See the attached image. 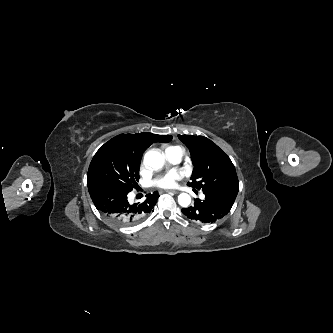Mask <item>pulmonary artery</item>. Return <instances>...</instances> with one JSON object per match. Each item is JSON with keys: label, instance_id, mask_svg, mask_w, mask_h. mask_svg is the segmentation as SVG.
Instances as JSON below:
<instances>
[{"label": "pulmonary artery", "instance_id": "e3ab8cb5", "mask_svg": "<svg viewBox=\"0 0 333 333\" xmlns=\"http://www.w3.org/2000/svg\"><path fill=\"white\" fill-rule=\"evenodd\" d=\"M166 158L172 164H178L182 161L184 152L180 147L172 148L166 150ZM201 198H204V195H201Z\"/></svg>", "mask_w": 333, "mask_h": 333}]
</instances>
